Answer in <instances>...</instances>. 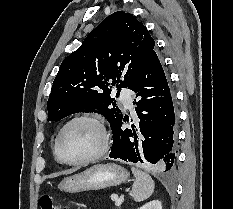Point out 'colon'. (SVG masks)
I'll use <instances>...</instances> for the list:
<instances>
[{"mask_svg": "<svg viewBox=\"0 0 233 209\" xmlns=\"http://www.w3.org/2000/svg\"><path fill=\"white\" fill-rule=\"evenodd\" d=\"M40 209H62L54 204L50 195H42L39 199Z\"/></svg>", "mask_w": 233, "mask_h": 209, "instance_id": "5ec220e1", "label": "colon"}]
</instances>
